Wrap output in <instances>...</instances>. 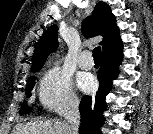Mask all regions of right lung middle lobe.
Segmentation results:
<instances>
[{
    "mask_svg": "<svg viewBox=\"0 0 153 134\" xmlns=\"http://www.w3.org/2000/svg\"><path fill=\"white\" fill-rule=\"evenodd\" d=\"M35 77H30L27 83V96L30 97L32 95L31 91L35 85ZM31 112V108L26 105V101L23 103L22 108L20 110V115Z\"/></svg>",
    "mask_w": 153,
    "mask_h": 134,
    "instance_id": "1",
    "label": "right lung middle lobe"
}]
</instances>
